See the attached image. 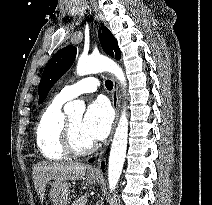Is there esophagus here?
Wrapping results in <instances>:
<instances>
[{
    "label": "esophagus",
    "mask_w": 212,
    "mask_h": 205,
    "mask_svg": "<svg viewBox=\"0 0 212 205\" xmlns=\"http://www.w3.org/2000/svg\"><path fill=\"white\" fill-rule=\"evenodd\" d=\"M112 80H113L112 105L116 112V118H115V122H114V126H113V130L111 132V135H110L107 143L105 144V147L101 150V152L99 154L96 166H94L93 168L90 169V173L95 174V175L100 174V163H101V160H102L110 142L112 141L114 129L116 127V123H117V120L119 117L120 100H119L118 84H117L115 77H112Z\"/></svg>",
    "instance_id": "1"
}]
</instances>
